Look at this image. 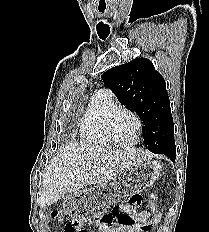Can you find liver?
Here are the masks:
<instances>
[{
  "label": "liver",
  "mask_w": 209,
  "mask_h": 232,
  "mask_svg": "<svg viewBox=\"0 0 209 232\" xmlns=\"http://www.w3.org/2000/svg\"><path fill=\"white\" fill-rule=\"evenodd\" d=\"M150 156L133 147L69 144L57 153L43 179V198L50 206L89 184H105Z\"/></svg>",
  "instance_id": "obj_1"
}]
</instances>
